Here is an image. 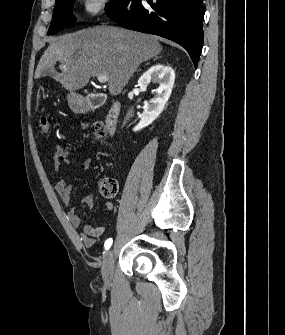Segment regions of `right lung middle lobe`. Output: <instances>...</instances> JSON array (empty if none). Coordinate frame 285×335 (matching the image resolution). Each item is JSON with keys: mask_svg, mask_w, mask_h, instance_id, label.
I'll return each mask as SVG.
<instances>
[{"mask_svg": "<svg viewBox=\"0 0 285 335\" xmlns=\"http://www.w3.org/2000/svg\"><path fill=\"white\" fill-rule=\"evenodd\" d=\"M75 0H60L56 2L53 19L47 35H53L62 30L65 26L75 21L72 15V7ZM119 0H110L106 10H109Z\"/></svg>", "mask_w": 285, "mask_h": 335, "instance_id": "obj_1", "label": "right lung middle lobe"}]
</instances>
